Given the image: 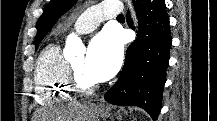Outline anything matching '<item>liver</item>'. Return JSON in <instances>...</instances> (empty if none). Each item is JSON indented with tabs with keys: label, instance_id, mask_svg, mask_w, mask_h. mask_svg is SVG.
I'll use <instances>...</instances> for the list:
<instances>
[{
	"label": "liver",
	"instance_id": "obj_1",
	"mask_svg": "<svg viewBox=\"0 0 217 121\" xmlns=\"http://www.w3.org/2000/svg\"><path fill=\"white\" fill-rule=\"evenodd\" d=\"M95 105L70 104L66 107L42 113V121L56 119L60 121H95Z\"/></svg>",
	"mask_w": 217,
	"mask_h": 121
}]
</instances>
